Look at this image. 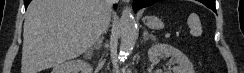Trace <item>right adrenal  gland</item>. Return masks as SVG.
<instances>
[{"label": "right adrenal gland", "instance_id": "1", "mask_svg": "<svg viewBox=\"0 0 244 73\" xmlns=\"http://www.w3.org/2000/svg\"><path fill=\"white\" fill-rule=\"evenodd\" d=\"M102 42H103V37H101L100 39H98L96 41V43L89 49V51L92 52L95 49H99L101 47V45H102Z\"/></svg>", "mask_w": 244, "mask_h": 73}]
</instances>
